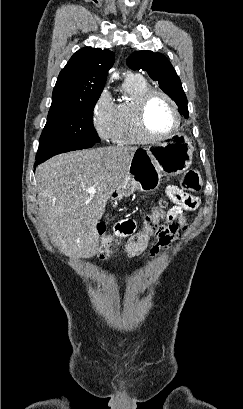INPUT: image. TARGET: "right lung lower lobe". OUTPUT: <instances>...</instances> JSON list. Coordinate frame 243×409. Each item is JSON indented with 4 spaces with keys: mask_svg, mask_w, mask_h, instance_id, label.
<instances>
[{
    "mask_svg": "<svg viewBox=\"0 0 243 409\" xmlns=\"http://www.w3.org/2000/svg\"><path fill=\"white\" fill-rule=\"evenodd\" d=\"M95 143H72V144H47L42 143L39 144L38 152L36 155V165L46 161L47 159L51 158L60 153L85 149L94 146Z\"/></svg>",
    "mask_w": 243,
    "mask_h": 409,
    "instance_id": "98d812e1",
    "label": "right lung lower lobe"
}]
</instances>
